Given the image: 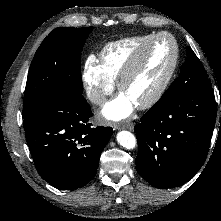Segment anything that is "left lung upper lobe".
<instances>
[{
  "label": "left lung upper lobe",
  "mask_w": 221,
  "mask_h": 221,
  "mask_svg": "<svg viewBox=\"0 0 221 221\" xmlns=\"http://www.w3.org/2000/svg\"><path fill=\"white\" fill-rule=\"evenodd\" d=\"M211 87L210 79L200 60L190 47L186 48V61L180 69L179 77L161 98L175 97L196 88Z\"/></svg>",
  "instance_id": "obj_1"
}]
</instances>
